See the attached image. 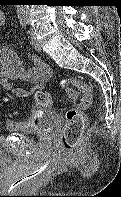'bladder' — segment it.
Segmentation results:
<instances>
[{
	"mask_svg": "<svg viewBox=\"0 0 121 197\" xmlns=\"http://www.w3.org/2000/svg\"><path fill=\"white\" fill-rule=\"evenodd\" d=\"M56 119V113L48 108H42L28 118L9 123L7 129L13 133L41 134L52 128Z\"/></svg>",
	"mask_w": 121,
	"mask_h": 197,
	"instance_id": "obj_1",
	"label": "bladder"
}]
</instances>
